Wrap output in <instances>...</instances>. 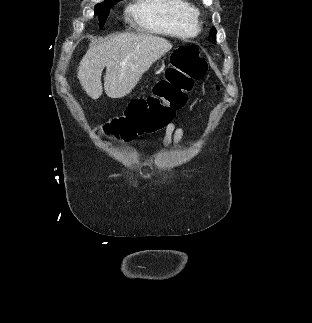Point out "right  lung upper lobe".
Listing matches in <instances>:
<instances>
[{
	"instance_id": "cb5924a9",
	"label": "right lung upper lobe",
	"mask_w": 312,
	"mask_h": 323,
	"mask_svg": "<svg viewBox=\"0 0 312 323\" xmlns=\"http://www.w3.org/2000/svg\"><path fill=\"white\" fill-rule=\"evenodd\" d=\"M119 0H105V3L100 4H108V3H117Z\"/></svg>"
}]
</instances>
